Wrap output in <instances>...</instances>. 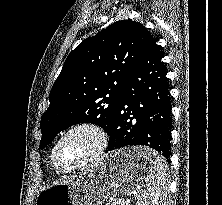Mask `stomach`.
<instances>
[{
  "label": "stomach",
  "instance_id": "0dacf381",
  "mask_svg": "<svg viewBox=\"0 0 222 205\" xmlns=\"http://www.w3.org/2000/svg\"><path fill=\"white\" fill-rule=\"evenodd\" d=\"M155 151L131 147L97 159L73 178L47 186L36 205H101L110 196H123L145 181L148 163Z\"/></svg>",
  "mask_w": 222,
  "mask_h": 205
}]
</instances>
